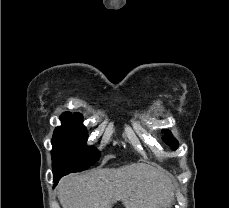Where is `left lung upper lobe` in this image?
<instances>
[{
    "mask_svg": "<svg viewBox=\"0 0 229 208\" xmlns=\"http://www.w3.org/2000/svg\"><path fill=\"white\" fill-rule=\"evenodd\" d=\"M163 140L168 144L173 150H176L178 147V142L172 137L169 130H166V135L163 137Z\"/></svg>",
    "mask_w": 229,
    "mask_h": 208,
    "instance_id": "1",
    "label": "left lung upper lobe"
}]
</instances>
